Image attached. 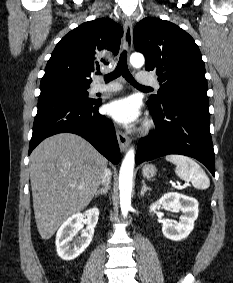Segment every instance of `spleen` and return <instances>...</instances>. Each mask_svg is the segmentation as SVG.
<instances>
[{
	"label": "spleen",
	"mask_w": 233,
	"mask_h": 283,
	"mask_svg": "<svg viewBox=\"0 0 233 283\" xmlns=\"http://www.w3.org/2000/svg\"><path fill=\"white\" fill-rule=\"evenodd\" d=\"M165 159L175 164V173L182 180L190 181L197 189L205 190L209 188L210 180L208 176L199 164L191 158L179 154H170Z\"/></svg>",
	"instance_id": "obj_1"
}]
</instances>
